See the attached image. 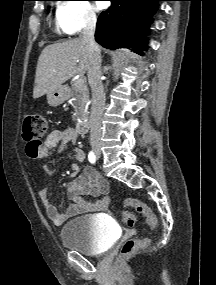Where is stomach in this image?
Masks as SVG:
<instances>
[{
	"mask_svg": "<svg viewBox=\"0 0 216 285\" xmlns=\"http://www.w3.org/2000/svg\"><path fill=\"white\" fill-rule=\"evenodd\" d=\"M68 98V90L66 87L61 86L49 93H47V101L51 106H58Z\"/></svg>",
	"mask_w": 216,
	"mask_h": 285,
	"instance_id": "obj_1",
	"label": "stomach"
}]
</instances>
